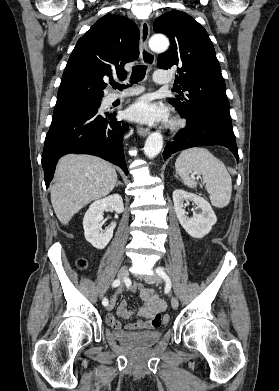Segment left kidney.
I'll return each mask as SVG.
<instances>
[{
    "instance_id": "left-kidney-1",
    "label": "left kidney",
    "mask_w": 279,
    "mask_h": 391,
    "mask_svg": "<svg viewBox=\"0 0 279 391\" xmlns=\"http://www.w3.org/2000/svg\"><path fill=\"white\" fill-rule=\"evenodd\" d=\"M192 201L201 212H194L189 218L184 210V203ZM174 209L185 231L194 238H203L216 223L217 217L207 200L196 194L177 189L173 192Z\"/></svg>"
}]
</instances>
